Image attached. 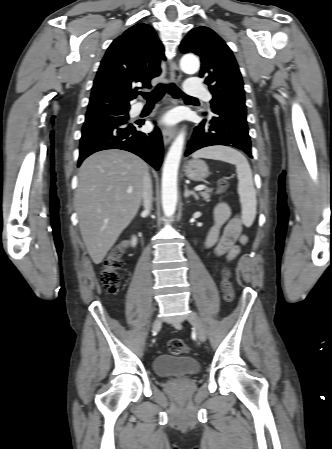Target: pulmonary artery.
<instances>
[{
  "mask_svg": "<svg viewBox=\"0 0 332 449\" xmlns=\"http://www.w3.org/2000/svg\"><path fill=\"white\" fill-rule=\"evenodd\" d=\"M185 92L192 96L201 97L204 101L210 102L211 96L208 90L198 83L197 79L190 78L185 85Z\"/></svg>",
  "mask_w": 332,
  "mask_h": 449,
  "instance_id": "e3ab8cb5",
  "label": "pulmonary artery"
}]
</instances>
